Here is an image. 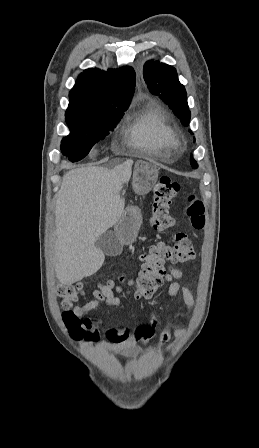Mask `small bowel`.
<instances>
[{
  "mask_svg": "<svg viewBox=\"0 0 259 448\" xmlns=\"http://www.w3.org/2000/svg\"><path fill=\"white\" fill-rule=\"evenodd\" d=\"M182 278V271L173 266H169L168 272L165 273L164 279L169 283L168 293L170 297L176 298L182 296L183 301L189 310L193 305V296L191 292L184 288L179 280ZM92 300L83 304L77 305L71 311L82 320L86 335L85 340L90 343L99 341L98 322L88 317L89 313L95 310L100 305L116 307L121 304V300L117 297L111 288L103 283L98 284V289L92 292ZM159 323L156 316H152L149 323L145 326L139 327L133 331L128 329H110L106 333L107 340L98 343L101 349L123 353L127 356H137L142 352L138 346L140 341L147 342L153 335ZM181 335L182 331L178 329L171 317H167L166 327L159 336V343L163 344L170 340L172 334Z\"/></svg>",
  "mask_w": 259,
  "mask_h": 448,
  "instance_id": "1",
  "label": "small bowel"
}]
</instances>
